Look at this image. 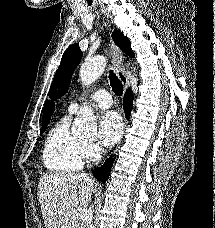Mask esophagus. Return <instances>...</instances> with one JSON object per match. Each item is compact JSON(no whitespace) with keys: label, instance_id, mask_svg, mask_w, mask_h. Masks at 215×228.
Segmentation results:
<instances>
[{"label":"esophagus","instance_id":"obj_1","mask_svg":"<svg viewBox=\"0 0 215 228\" xmlns=\"http://www.w3.org/2000/svg\"><path fill=\"white\" fill-rule=\"evenodd\" d=\"M107 31H108V35H109V47H110V52L113 58V67L114 70L119 78V80L121 81V83L123 84L125 90H127L129 88L130 85V81L129 78L127 77V75L125 74L124 71V66H123V55L121 50L116 46V44L114 43L112 36H111V26H107Z\"/></svg>","mask_w":215,"mask_h":228}]
</instances>
